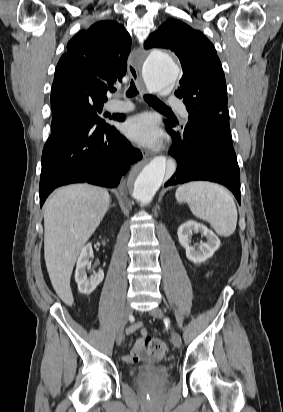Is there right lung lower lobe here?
I'll list each match as a JSON object with an SVG mask.
<instances>
[{"mask_svg": "<svg viewBox=\"0 0 283 412\" xmlns=\"http://www.w3.org/2000/svg\"><path fill=\"white\" fill-rule=\"evenodd\" d=\"M111 119L120 121L117 116ZM141 158V152L109 122L84 118L71 128H54L42 153L40 206L55 188L70 183L115 188Z\"/></svg>", "mask_w": 283, "mask_h": 412, "instance_id": "right-lung-lower-lobe-1", "label": "right lung lower lobe"}]
</instances>
